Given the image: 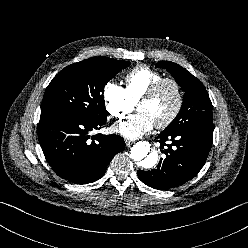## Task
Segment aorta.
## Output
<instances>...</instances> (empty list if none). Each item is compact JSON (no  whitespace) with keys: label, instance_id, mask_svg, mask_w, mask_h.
Segmentation results:
<instances>
[{"label":"aorta","instance_id":"aorta-1","mask_svg":"<svg viewBox=\"0 0 248 248\" xmlns=\"http://www.w3.org/2000/svg\"><path fill=\"white\" fill-rule=\"evenodd\" d=\"M130 157L144 169L153 168L159 159L158 152L152 150L151 144L147 141H139L134 144L130 151Z\"/></svg>","mask_w":248,"mask_h":248}]
</instances>
